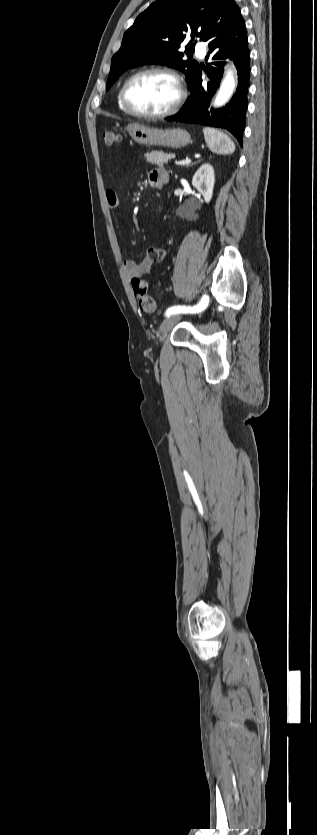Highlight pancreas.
<instances>
[{
	"label": "pancreas",
	"instance_id": "obj_1",
	"mask_svg": "<svg viewBox=\"0 0 317 835\" xmlns=\"http://www.w3.org/2000/svg\"><path fill=\"white\" fill-rule=\"evenodd\" d=\"M144 156L148 163L158 166H162L165 162L175 157L174 154H164L160 151L147 152Z\"/></svg>",
	"mask_w": 317,
	"mask_h": 835
}]
</instances>
